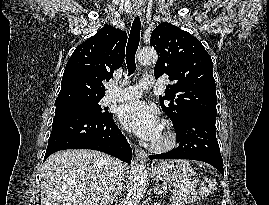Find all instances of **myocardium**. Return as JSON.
Segmentation results:
<instances>
[{"mask_svg":"<svg viewBox=\"0 0 269 205\" xmlns=\"http://www.w3.org/2000/svg\"><path fill=\"white\" fill-rule=\"evenodd\" d=\"M176 145V138L169 123H165L159 139L153 141L150 149L156 153H163L173 149Z\"/></svg>","mask_w":269,"mask_h":205,"instance_id":"f54148a6","label":"myocardium"}]
</instances>
